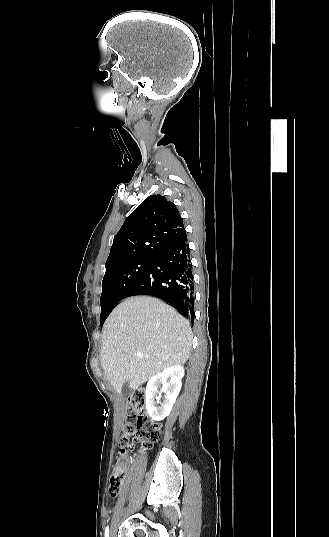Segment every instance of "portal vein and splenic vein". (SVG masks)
<instances>
[{"label": "portal vein and splenic vein", "instance_id": "18ae733b", "mask_svg": "<svg viewBox=\"0 0 329 537\" xmlns=\"http://www.w3.org/2000/svg\"><path fill=\"white\" fill-rule=\"evenodd\" d=\"M138 358L142 359L145 355H142L141 353H137Z\"/></svg>", "mask_w": 329, "mask_h": 537}]
</instances>
